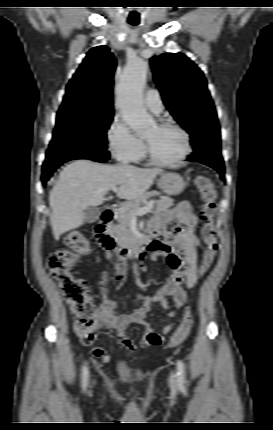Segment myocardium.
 I'll return each instance as SVG.
<instances>
[{"label":"myocardium","instance_id":"f54148a6","mask_svg":"<svg viewBox=\"0 0 273 430\" xmlns=\"http://www.w3.org/2000/svg\"><path fill=\"white\" fill-rule=\"evenodd\" d=\"M156 126L160 129L169 128L179 132L184 142L183 151L176 159L170 161H163L154 156L150 144L145 140V153L148 161L154 165L161 167H173L181 164L191 153V141L188 132L179 124L171 121H161L157 123Z\"/></svg>","mask_w":273,"mask_h":430}]
</instances>
